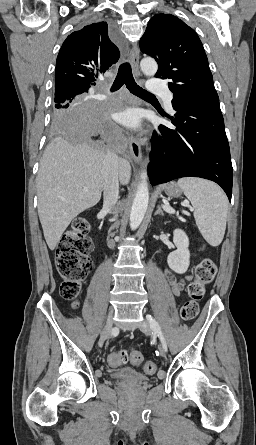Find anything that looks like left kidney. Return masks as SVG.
<instances>
[{
  "instance_id": "1",
  "label": "left kidney",
  "mask_w": 256,
  "mask_h": 445,
  "mask_svg": "<svg viewBox=\"0 0 256 445\" xmlns=\"http://www.w3.org/2000/svg\"><path fill=\"white\" fill-rule=\"evenodd\" d=\"M173 242L177 249L168 255L167 263L174 272L183 274L190 264L189 239L183 230L175 229Z\"/></svg>"
}]
</instances>
